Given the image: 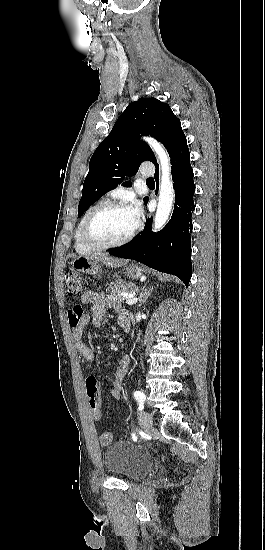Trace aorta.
I'll return each instance as SVG.
<instances>
[{"instance_id": "762f6f07", "label": "aorta", "mask_w": 265, "mask_h": 550, "mask_svg": "<svg viewBox=\"0 0 265 550\" xmlns=\"http://www.w3.org/2000/svg\"><path fill=\"white\" fill-rule=\"evenodd\" d=\"M145 141L157 154L161 171L158 206L153 223L154 231H159L164 227L169 218L175 198L173 183L171 180L170 158L164 147L159 142L152 138H145Z\"/></svg>"}]
</instances>
